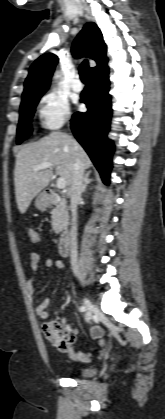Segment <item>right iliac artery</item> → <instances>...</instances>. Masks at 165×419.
Listing matches in <instances>:
<instances>
[{"instance_id":"obj_1","label":"right iliac artery","mask_w":165,"mask_h":419,"mask_svg":"<svg viewBox=\"0 0 165 419\" xmlns=\"http://www.w3.org/2000/svg\"><path fill=\"white\" fill-rule=\"evenodd\" d=\"M79 310H80L81 312H84V311H85V307H84V306H80Z\"/></svg>"}]
</instances>
